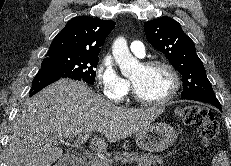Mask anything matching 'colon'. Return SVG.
<instances>
[{
  "instance_id": "colon-1",
  "label": "colon",
  "mask_w": 231,
  "mask_h": 166,
  "mask_svg": "<svg viewBox=\"0 0 231 166\" xmlns=\"http://www.w3.org/2000/svg\"><path fill=\"white\" fill-rule=\"evenodd\" d=\"M176 114L183 123L197 129L204 146L210 145L216 139L218 124L208 108L199 105H181L177 107Z\"/></svg>"
}]
</instances>
